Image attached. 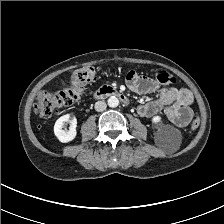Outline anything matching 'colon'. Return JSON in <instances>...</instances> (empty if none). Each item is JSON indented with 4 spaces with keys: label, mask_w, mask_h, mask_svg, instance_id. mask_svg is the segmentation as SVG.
<instances>
[{
    "label": "colon",
    "mask_w": 224,
    "mask_h": 224,
    "mask_svg": "<svg viewBox=\"0 0 224 224\" xmlns=\"http://www.w3.org/2000/svg\"><path fill=\"white\" fill-rule=\"evenodd\" d=\"M157 80L163 84H174L175 77L165 69L155 71ZM96 79V70L90 65L76 69L70 78L69 86L59 90H42L37 96L35 111L39 116L47 117L57 109L70 106L79 100L86 86ZM200 124V118L196 116L191 122V128L195 129Z\"/></svg>",
    "instance_id": "obj_1"
}]
</instances>
